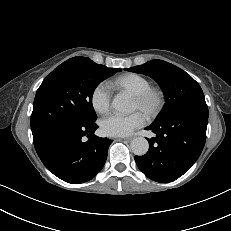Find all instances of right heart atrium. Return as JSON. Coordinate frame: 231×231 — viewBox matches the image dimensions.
Returning a JSON list of instances; mask_svg holds the SVG:
<instances>
[{
  "label": "right heart atrium",
  "mask_w": 231,
  "mask_h": 231,
  "mask_svg": "<svg viewBox=\"0 0 231 231\" xmlns=\"http://www.w3.org/2000/svg\"><path fill=\"white\" fill-rule=\"evenodd\" d=\"M111 96V91L105 83L96 85L90 96L93 109L100 114L106 113L110 108Z\"/></svg>",
  "instance_id": "d8ad5b80"
}]
</instances>
